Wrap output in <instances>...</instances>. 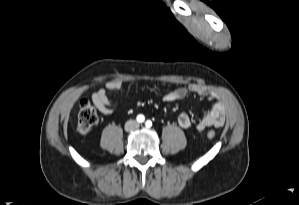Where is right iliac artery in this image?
I'll use <instances>...</instances> for the list:
<instances>
[{
    "label": "right iliac artery",
    "mask_w": 299,
    "mask_h": 205,
    "mask_svg": "<svg viewBox=\"0 0 299 205\" xmlns=\"http://www.w3.org/2000/svg\"><path fill=\"white\" fill-rule=\"evenodd\" d=\"M144 120H145V117H144L143 115H138V116H137V121H138L139 123H142Z\"/></svg>",
    "instance_id": "82829eb1"
}]
</instances>
